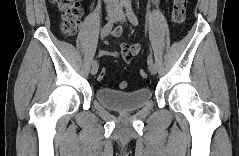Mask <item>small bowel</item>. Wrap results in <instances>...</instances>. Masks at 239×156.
Wrapping results in <instances>:
<instances>
[{"instance_id": "1", "label": "small bowel", "mask_w": 239, "mask_h": 156, "mask_svg": "<svg viewBox=\"0 0 239 156\" xmlns=\"http://www.w3.org/2000/svg\"><path fill=\"white\" fill-rule=\"evenodd\" d=\"M153 5L156 7L158 6V1H154ZM114 36L115 37H120L121 36V29L116 28L114 30ZM141 43H135L133 45H129L126 43H121L120 44V51H107V50H102L100 51L101 56H112V57H120L123 59L126 63H130L133 59V57L137 56L141 50Z\"/></svg>"}]
</instances>
